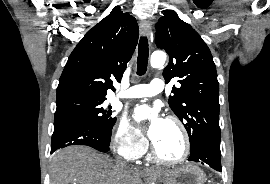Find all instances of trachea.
Returning a JSON list of instances; mask_svg holds the SVG:
<instances>
[{
  "instance_id": "1",
  "label": "trachea",
  "mask_w": 270,
  "mask_h": 184,
  "mask_svg": "<svg viewBox=\"0 0 270 184\" xmlns=\"http://www.w3.org/2000/svg\"><path fill=\"white\" fill-rule=\"evenodd\" d=\"M148 40L146 37H141L138 45V57H137V74L144 75L147 70L148 64Z\"/></svg>"
}]
</instances>
